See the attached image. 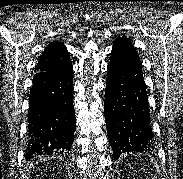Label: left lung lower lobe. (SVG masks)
<instances>
[{"mask_svg":"<svg viewBox=\"0 0 183 179\" xmlns=\"http://www.w3.org/2000/svg\"><path fill=\"white\" fill-rule=\"evenodd\" d=\"M105 120L114 159L153 149L150 109L140 58L127 38H119L107 68Z\"/></svg>","mask_w":183,"mask_h":179,"instance_id":"obj_1","label":"left lung lower lobe"}]
</instances>
